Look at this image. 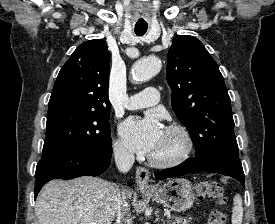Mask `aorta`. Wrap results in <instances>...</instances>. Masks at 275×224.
Returning <instances> with one entry per match:
<instances>
[{
    "instance_id": "obj_1",
    "label": "aorta",
    "mask_w": 275,
    "mask_h": 224,
    "mask_svg": "<svg viewBox=\"0 0 275 224\" xmlns=\"http://www.w3.org/2000/svg\"><path fill=\"white\" fill-rule=\"evenodd\" d=\"M161 69V61L156 57H148L137 61L131 70L132 78L136 82L147 81Z\"/></svg>"
}]
</instances>
